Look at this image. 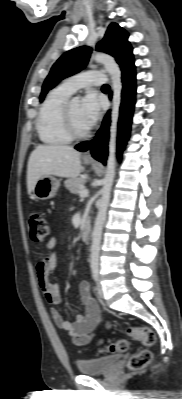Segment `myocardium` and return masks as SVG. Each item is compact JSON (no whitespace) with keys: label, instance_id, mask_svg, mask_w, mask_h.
<instances>
[{"label":"myocardium","instance_id":"f54148a6","mask_svg":"<svg viewBox=\"0 0 182 399\" xmlns=\"http://www.w3.org/2000/svg\"><path fill=\"white\" fill-rule=\"evenodd\" d=\"M69 103H66L64 110H63V123H64V128L67 133V135L73 139V140H80L88 137L90 134V129L88 128L85 131H78L72 121V117L70 114V108H69Z\"/></svg>","mask_w":182,"mask_h":399}]
</instances>
